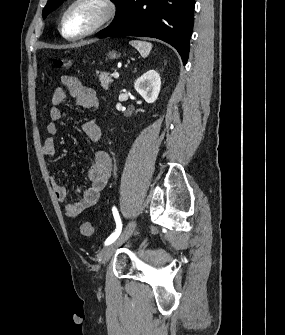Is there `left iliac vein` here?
Wrapping results in <instances>:
<instances>
[{"label":"left iliac vein","instance_id":"4c4485c4","mask_svg":"<svg viewBox=\"0 0 285 335\" xmlns=\"http://www.w3.org/2000/svg\"><path fill=\"white\" fill-rule=\"evenodd\" d=\"M136 227V221H130L125 229L123 230L121 236L113 243L105 246L100 252V261L103 267L108 263L112 255L115 253L116 249L125 243L132 235Z\"/></svg>","mask_w":285,"mask_h":335}]
</instances>
